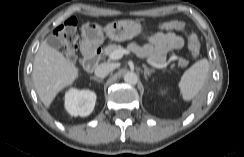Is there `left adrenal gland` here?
<instances>
[{"mask_svg": "<svg viewBox=\"0 0 244 157\" xmlns=\"http://www.w3.org/2000/svg\"><path fill=\"white\" fill-rule=\"evenodd\" d=\"M143 68H144V77L146 80H148V77L151 76V74L154 72V70L147 68V66L145 64H143Z\"/></svg>", "mask_w": 244, "mask_h": 157, "instance_id": "1", "label": "left adrenal gland"}]
</instances>
